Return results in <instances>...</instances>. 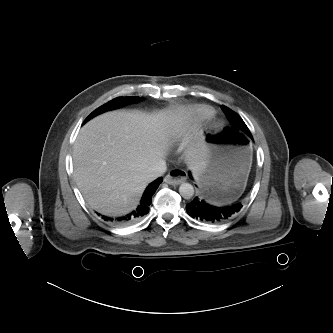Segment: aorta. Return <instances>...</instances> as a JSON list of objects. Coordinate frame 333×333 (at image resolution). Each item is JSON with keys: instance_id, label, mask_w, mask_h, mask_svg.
Here are the masks:
<instances>
[{"instance_id": "762f6f07", "label": "aorta", "mask_w": 333, "mask_h": 333, "mask_svg": "<svg viewBox=\"0 0 333 333\" xmlns=\"http://www.w3.org/2000/svg\"><path fill=\"white\" fill-rule=\"evenodd\" d=\"M179 193L184 199H190L194 195V188L189 183H183L179 187Z\"/></svg>"}]
</instances>
